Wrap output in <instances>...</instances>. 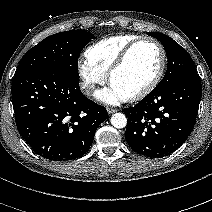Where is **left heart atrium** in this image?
I'll return each mask as SVG.
<instances>
[{
  "instance_id": "1",
  "label": "left heart atrium",
  "mask_w": 212,
  "mask_h": 212,
  "mask_svg": "<svg viewBox=\"0 0 212 212\" xmlns=\"http://www.w3.org/2000/svg\"><path fill=\"white\" fill-rule=\"evenodd\" d=\"M96 97L106 103L117 104L128 99V96L117 90L112 85L96 94Z\"/></svg>"
}]
</instances>
